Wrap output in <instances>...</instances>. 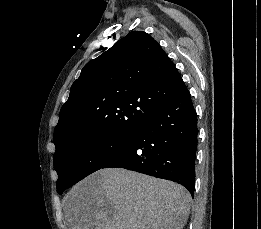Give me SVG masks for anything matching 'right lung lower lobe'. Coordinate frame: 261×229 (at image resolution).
Wrapping results in <instances>:
<instances>
[{
  "label": "right lung lower lobe",
  "instance_id": "right-lung-lower-lobe-1",
  "mask_svg": "<svg viewBox=\"0 0 261 229\" xmlns=\"http://www.w3.org/2000/svg\"><path fill=\"white\" fill-rule=\"evenodd\" d=\"M197 115L184 83L103 168H125L183 185L194 197Z\"/></svg>",
  "mask_w": 261,
  "mask_h": 229
}]
</instances>
